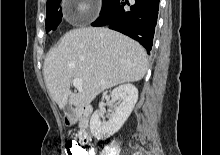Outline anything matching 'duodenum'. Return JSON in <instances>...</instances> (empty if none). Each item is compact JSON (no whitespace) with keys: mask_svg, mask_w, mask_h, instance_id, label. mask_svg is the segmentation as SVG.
Returning <instances> with one entry per match:
<instances>
[{"mask_svg":"<svg viewBox=\"0 0 220 155\" xmlns=\"http://www.w3.org/2000/svg\"><path fill=\"white\" fill-rule=\"evenodd\" d=\"M91 113H92V108L87 105L79 106L74 110L75 117L81 120H86L87 118H89ZM79 139L82 143H89L91 141V135L88 131L85 130L80 133Z\"/></svg>","mask_w":220,"mask_h":155,"instance_id":"1","label":"duodenum"}]
</instances>
